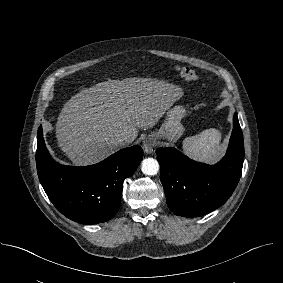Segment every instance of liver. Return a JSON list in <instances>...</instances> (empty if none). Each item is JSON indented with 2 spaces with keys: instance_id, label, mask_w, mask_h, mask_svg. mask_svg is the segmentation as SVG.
<instances>
[{
  "instance_id": "1",
  "label": "liver",
  "mask_w": 283,
  "mask_h": 283,
  "mask_svg": "<svg viewBox=\"0 0 283 283\" xmlns=\"http://www.w3.org/2000/svg\"><path fill=\"white\" fill-rule=\"evenodd\" d=\"M182 96L180 87L151 78L100 82L64 105L56 123L58 145L74 165L97 163L119 149L117 136L132 143L139 128L155 125Z\"/></svg>"
}]
</instances>
